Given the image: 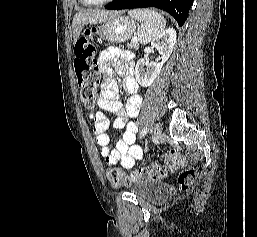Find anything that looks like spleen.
<instances>
[{"mask_svg":"<svg viewBox=\"0 0 257 237\" xmlns=\"http://www.w3.org/2000/svg\"><path fill=\"white\" fill-rule=\"evenodd\" d=\"M128 14L141 23L137 31L141 44L150 43L165 29V18L154 10L136 9L128 11Z\"/></svg>","mask_w":257,"mask_h":237,"instance_id":"1","label":"spleen"}]
</instances>
